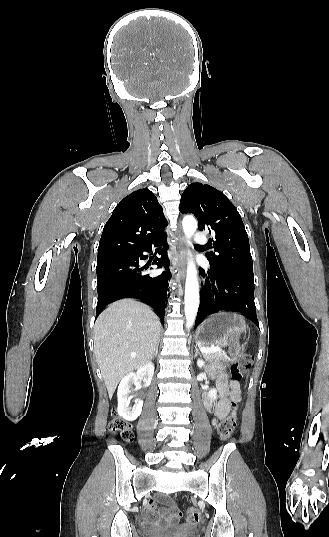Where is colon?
Returning a JSON list of instances; mask_svg holds the SVG:
<instances>
[{
	"label": "colon",
	"mask_w": 329,
	"mask_h": 537,
	"mask_svg": "<svg viewBox=\"0 0 329 537\" xmlns=\"http://www.w3.org/2000/svg\"><path fill=\"white\" fill-rule=\"evenodd\" d=\"M232 357L235 358V362L231 368V375L234 380L242 379L249 371L252 365V357L248 354L242 353L238 345H233L230 349ZM239 394L232 393L231 395V404L233 410L235 411L238 407ZM237 417L234 414L230 415L224 421L218 425V433L220 437L224 440H227L231 437L235 427H236ZM110 431L118 434L121 439L125 442H130L133 438L132 426L131 424L119 417L114 411V418L110 422ZM200 513L196 509H189L187 511V522L191 525H196L200 522Z\"/></svg>",
	"instance_id": "5ec220e1"
}]
</instances>
